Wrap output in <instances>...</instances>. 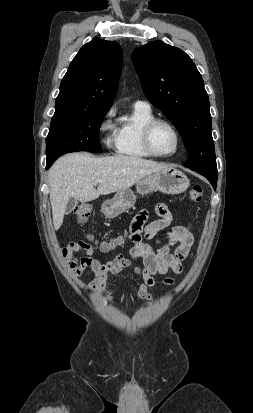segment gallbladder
Segmentation results:
<instances>
[{
    "instance_id": "obj_1",
    "label": "gallbladder",
    "mask_w": 253,
    "mask_h": 413,
    "mask_svg": "<svg viewBox=\"0 0 253 413\" xmlns=\"http://www.w3.org/2000/svg\"><path fill=\"white\" fill-rule=\"evenodd\" d=\"M78 204V201L71 198L66 206V214H69Z\"/></svg>"
}]
</instances>
